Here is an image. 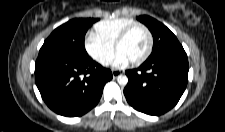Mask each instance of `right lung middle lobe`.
I'll return each instance as SVG.
<instances>
[{
	"label": "right lung middle lobe",
	"mask_w": 225,
	"mask_h": 132,
	"mask_svg": "<svg viewBox=\"0 0 225 132\" xmlns=\"http://www.w3.org/2000/svg\"><path fill=\"white\" fill-rule=\"evenodd\" d=\"M97 18L73 19L56 28L45 40L40 51H55L74 56H87L84 38Z\"/></svg>",
	"instance_id": "right-lung-middle-lobe-1"
}]
</instances>
